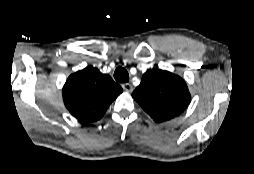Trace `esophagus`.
<instances>
[{
  "mask_svg": "<svg viewBox=\"0 0 254 174\" xmlns=\"http://www.w3.org/2000/svg\"><path fill=\"white\" fill-rule=\"evenodd\" d=\"M122 88L127 92L133 91V86L130 83H123Z\"/></svg>",
  "mask_w": 254,
  "mask_h": 174,
  "instance_id": "1",
  "label": "esophagus"
}]
</instances>
